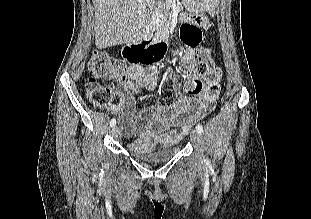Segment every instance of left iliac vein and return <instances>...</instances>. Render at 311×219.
<instances>
[{"label":"left iliac vein","mask_w":311,"mask_h":219,"mask_svg":"<svg viewBox=\"0 0 311 219\" xmlns=\"http://www.w3.org/2000/svg\"><path fill=\"white\" fill-rule=\"evenodd\" d=\"M190 138H191V141L195 144V146L199 150L200 149V143H201L200 133L196 129H193L190 133Z\"/></svg>","instance_id":"1"}]
</instances>
